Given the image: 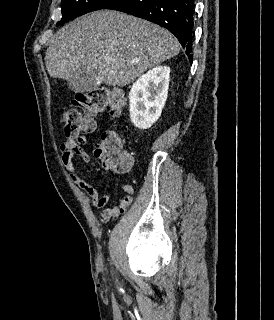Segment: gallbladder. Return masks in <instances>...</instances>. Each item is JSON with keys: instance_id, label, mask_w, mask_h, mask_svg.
Segmentation results:
<instances>
[{"instance_id": "gallbladder-1", "label": "gallbladder", "mask_w": 274, "mask_h": 320, "mask_svg": "<svg viewBox=\"0 0 274 320\" xmlns=\"http://www.w3.org/2000/svg\"><path fill=\"white\" fill-rule=\"evenodd\" d=\"M70 78V88L73 94L97 90L98 85L104 84L103 78H97L95 68H72Z\"/></svg>"}]
</instances>
